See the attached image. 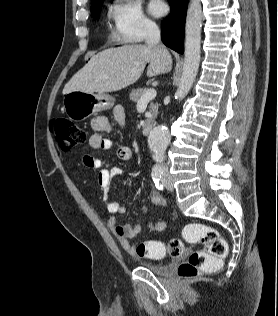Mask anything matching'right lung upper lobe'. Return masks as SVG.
I'll return each mask as SVG.
<instances>
[{
    "label": "right lung upper lobe",
    "mask_w": 278,
    "mask_h": 316,
    "mask_svg": "<svg viewBox=\"0 0 278 316\" xmlns=\"http://www.w3.org/2000/svg\"><path fill=\"white\" fill-rule=\"evenodd\" d=\"M103 0H91V8L95 5H97L98 3L102 2Z\"/></svg>",
    "instance_id": "obj_1"
}]
</instances>
